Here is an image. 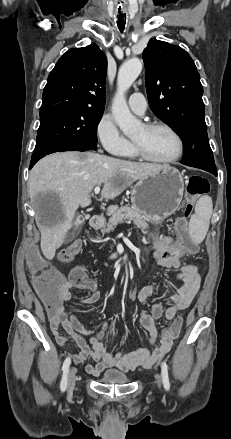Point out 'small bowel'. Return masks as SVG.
Instances as JSON below:
<instances>
[{"instance_id":"1","label":"small bowel","mask_w":231,"mask_h":439,"mask_svg":"<svg viewBox=\"0 0 231 439\" xmlns=\"http://www.w3.org/2000/svg\"><path fill=\"white\" fill-rule=\"evenodd\" d=\"M179 250H182L181 245L175 243L169 236L162 237L155 245L154 259L157 265L163 269H178L177 278L182 284L175 293L168 296L169 306L165 310L161 304L155 303L151 305L149 312H141L140 323L149 334L150 348H138L130 352H110L103 343L108 329L107 323L102 322L93 329H87L75 315L66 313L64 303L71 299V290L78 286L71 279L63 280L62 278L58 292L60 307L57 312L59 316L57 320H50L51 331L56 342L60 346L66 344L68 338L60 331L63 329L79 349L77 353L72 354L74 362L82 363L87 358L95 362L86 366V371L93 376H98L110 367L127 372L134 371L138 367L149 368L156 363L170 351L173 341L162 337L159 344L155 345L158 337L155 320L163 314L167 319H173L179 311L191 304L200 286V275L195 265H181V263L174 262V257ZM168 289L169 286L166 283H141L135 295L140 303H144L148 298L165 296ZM100 296L101 292L95 289L88 297L80 299V302L94 304ZM81 335H90L91 338L87 342Z\"/></svg>"}]
</instances>
